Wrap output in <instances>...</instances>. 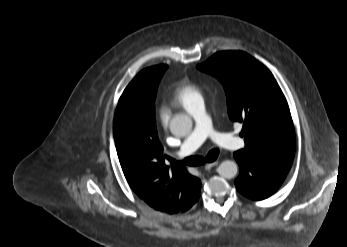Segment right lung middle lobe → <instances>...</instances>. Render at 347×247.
<instances>
[{
  "mask_svg": "<svg viewBox=\"0 0 347 247\" xmlns=\"http://www.w3.org/2000/svg\"><path fill=\"white\" fill-rule=\"evenodd\" d=\"M167 65H157L153 67L146 68L142 70L136 77L140 79L145 84L146 98L149 105L155 108L154 101L156 98V93L158 89V84L163 76Z\"/></svg>",
  "mask_w": 347,
  "mask_h": 247,
  "instance_id": "1",
  "label": "right lung middle lobe"
}]
</instances>
